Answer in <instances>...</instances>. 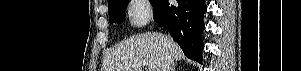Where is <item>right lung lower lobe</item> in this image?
Here are the masks:
<instances>
[{
    "mask_svg": "<svg viewBox=\"0 0 301 71\" xmlns=\"http://www.w3.org/2000/svg\"><path fill=\"white\" fill-rule=\"evenodd\" d=\"M177 3L170 5L168 0H156L154 20L169 30L189 59L202 63L205 0H177Z\"/></svg>",
    "mask_w": 301,
    "mask_h": 71,
    "instance_id": "obj_1",
    "label": "right lung lower lobe"
}]
</instances>
